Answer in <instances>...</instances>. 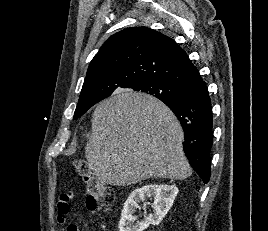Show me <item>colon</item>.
<instances>
[{
	"mask_svg": "<svg viewBox=\"0 0 268 231\" xmlns=\"http://www.w3.org/2000/svg\"><path fill=\"white\" fill-rule=\"evenodd\" d=\"M74 168L76 174L82 179L86 188L87 208L93 213H100L106 210L114 199L112 189L99 179L95 178L84 161H75Z\"/></svg>",
	"mask_w": 268,
	"mask_h": 231,
	"instance_id": "obj_1",
	"label": "colon"
}]
</instances>
